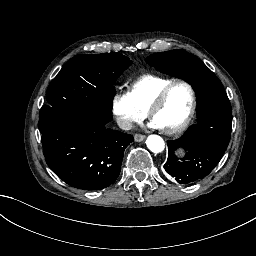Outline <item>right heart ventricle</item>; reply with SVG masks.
Masks as SVG:
<instances>
[{
  "mask_svg": "<svg viewBox=\"0 0 256 256\" xmlns=\"http://www.w3.org/2000/svg\"><path fill=\"white\" fill-rule=\"evenodd\" d=\"M170 83H172V79L170 78L164 80L156 79L152 85L135 89L131 97L136 99L140 103L141 108L144 110Z\"/></svg>",
  "mask_w": 256,
  "mask_h": 256,
  "instance_id": "obj_1",
  "label": "right heart ventricle"
}]
</instances>
